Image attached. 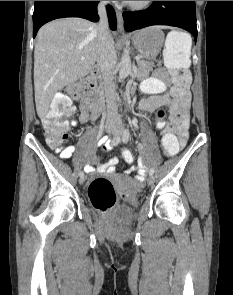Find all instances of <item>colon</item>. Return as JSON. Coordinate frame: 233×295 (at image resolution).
<instances>
[{
    "label": "colon",
    "instance_id": "5ec220e1",
    "mask_svg": "<svg viewBox=\"0 0 233 295\" xmlns=\"http://www.w3.org/2000/svg\"><path fill=\"white\" fill-rule=\"evenodd\" d=\"M164 60L172 75L173 93L178 96L189 91L191 77L187 69L191 63L190 37L182 32H171L165 42ZM84 86L87 87V81L77 80L54 96L43 120V132L49 146L59 147L67 138L68 122L63 117L72 114L70 96L79 95ZM161 142L167 156L175 155L180 149L178 136L170 127L162 131ZM121 155L127 164L134 163V155L130 150H122ZM88 195L94 207L102 211L112 208L117 199L113 184L103 177L95 178L90 183Z\"/></svg>",
    "mask_w": 233,
    "mask_h": 295
}]
</instances>
